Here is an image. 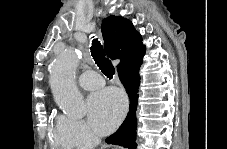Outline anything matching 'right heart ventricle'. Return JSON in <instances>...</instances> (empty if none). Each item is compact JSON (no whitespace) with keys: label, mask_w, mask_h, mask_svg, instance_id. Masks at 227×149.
I'll return each mask as SVG.
<instances>
[{"label":"right heart ventricle","mask_w":227,"mask_h":149,"mask_svg":"<svg viewBox=\"0 0 227 149\" xmlns=\"http://www.w3.org/2000/svg\"><path fill=\"white\" fill-rule=\"evenodd\" d=\"M52 132L54 135V139L57 145L61 146H71L67 140L65 139L64 133H63V128L62 124L60 122V117H57L54 120V123L52 125Z\"/></svg>","instance_id":"right-heart-ventricle-1"}]
</instances>
